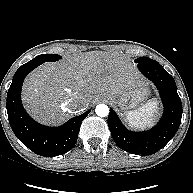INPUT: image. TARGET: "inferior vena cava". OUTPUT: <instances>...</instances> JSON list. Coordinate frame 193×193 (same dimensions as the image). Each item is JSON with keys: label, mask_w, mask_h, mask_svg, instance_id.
Returning a JSON list of instances; mask_svg holds the SVG:
<instances>
[{"label": "inferior vena cava", "mask_w": 193, "mask_h": 193, "mask_svg": "<svg viewBox=\"0 0 193 193\" xmlns=\"http://www.w3.org/2000/svg\"><path fill=\"white\" fill-rule=\"evenodd\" d=\"M69 106L72 109L80 110L85 106V102L79 98H73V99H70Z\"/></svg>", "instance_id": "obj_1"}]
</instances>
